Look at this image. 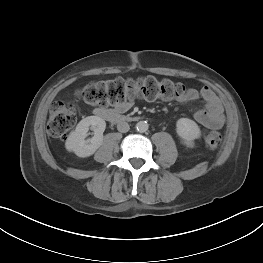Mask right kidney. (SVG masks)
I'll list each match as a JSON object with an SVG mask.
<instances>
[{"instance_id":"1","label":"right kidney","mask_w":263,"mask_h":263,"mask_svg":"<svg viewBox=\"0 0 263 263\" xmlns=\"http://www.w3.org/2000/svg\"><path fill=\"white\" fill-rule=\"evenodd\" d=\"M105 128V121L98 116H88L82 119L68 136L65 143L66 149L79 157L91 156L102 145ZM89 129L94 131V136L86 140Z\"/></svg>"}]
</instances>
